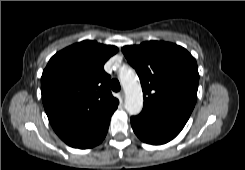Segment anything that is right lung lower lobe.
Masks as SVG:
<instances>
[{"label": "right lung lower lobe", "mask_w": 245, "mask_h": 170, "mask_svg": "<svg viewBox=\"0 0 245 170\" xmlns=\"http://www.w3.org/2000/svg\"><path fill=\"white\" fill-rule=\"evenodd\" d=\"M108 126L98 135L97 138H95L91 143H89L88 145L84 146L81 149L91 148L101 143L107 134Z\"/></svg>", "instance_id": "obj_1"}]
</instances>
